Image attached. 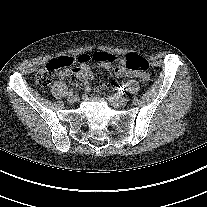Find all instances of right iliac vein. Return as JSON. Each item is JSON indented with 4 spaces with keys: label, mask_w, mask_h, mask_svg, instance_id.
<instances>
[{
    "label": "right iliac vein",
    "mask_w": 207,
    "mask_h": 207,
    "mask_svg": "<svg viewBox=\"0 0 207 207\" xmlns=\"http://www.w3.org/2000/svg\"><path fill=\"white\" fill-rule=\"evenodd\" d=\"M67 101L69 102V103H74V102H76V97L75 96H68L67 97Z\"/></svg>",
    "instance_id": "1"
}]
</instances>
